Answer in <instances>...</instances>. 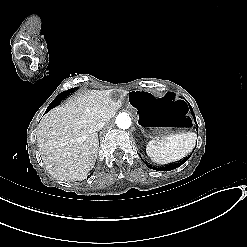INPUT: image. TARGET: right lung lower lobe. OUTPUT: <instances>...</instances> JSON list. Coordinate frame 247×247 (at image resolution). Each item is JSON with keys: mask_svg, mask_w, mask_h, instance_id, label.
Segmentation results:
<instances>
[{"mask_svg": "<svg viewBox=\"0 0 247 247\" xmlns=\"http://www.w3.org/2000/svg\"><path fill=\"white\" fill-rule=\"evenodd\" d=\"M71 92V89L67 90V91H64L62 93H60L51 103L50 105L48 106L47 110L45 113H47L49 110H51L52 108H54L55 106H57L61 100H63L66 96H68Z\"/></svg>", "mask_w": 247, "mask_h": 247, "instance_id": "1", "label": "right lung lower lobe"}]
</instances>
